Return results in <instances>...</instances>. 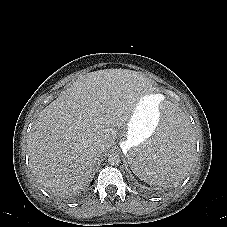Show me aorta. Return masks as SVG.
I'll return each instance as SVG.
<instances>
[{"label":"aorta","mask_w":227,"mask_h":227,"mask_svg":"<svg viewBox=\"0 0 227 227\" xmlns=\"http://www.w3.org/2000/svg\"><path fill=\"white\" fill-rule=\"evenodd\" d=\"M120 161H121L120 156L117 153H111L108 156V163L110 165H118L120 163Z\"/></svg>","instance_id":"aorta-1"}]
</instances>
